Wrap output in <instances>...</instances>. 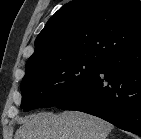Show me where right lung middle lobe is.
I'll list each match as a JSON object with an SVG mask.
<instances>
[{
  "label": "right lung middle lobe",
  "mask_w": 141,
  "mask_h": 139,
  "mask_svg": "<svg viewBox=\"0 0 141 139\" xmlns=\"http://www.w3.org/2000/svg\"><path fill=\"white\" fill-rule=\"evenodd\" d=\"M103 62L85 56L26 70L21 83V108L27 112L56 106L88 83Z\"/></svg>",
  "instance_id": "1"
}]
</instances>
